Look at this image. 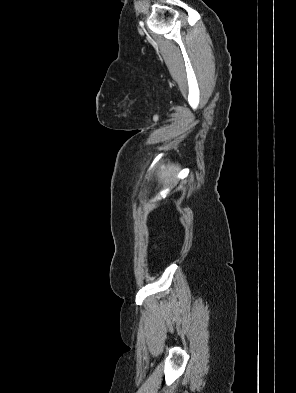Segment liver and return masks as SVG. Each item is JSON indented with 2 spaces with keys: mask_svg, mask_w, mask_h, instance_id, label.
I'll return each instance as SVG.
<instances>
[{
  "mask_svg": "<svg viewBox=\"0 0 296 393\" xmlns=\"http://www.w3.org/2000/svg\"><path fill=\"white\" fill-rule=\"evenodd\" d=\"M177 171L178 167L174 165L169 166V168H164L162 172V179L164 180V182H171L172 179L176 176Z\"/></svg>",
  "mask_w": 296,
  "mask_h": 393,
  "instance_id": "obj_1",
  "label": "liver"
}]
</instances>
